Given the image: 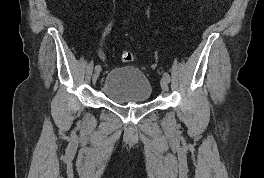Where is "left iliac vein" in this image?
I'll return each instance as SVG.
<instances>
[{
	"label": "left iliac vein",
	"instance_id": "left-iliac-vein-1",
	"mask_svg": "<svg viewBox=\"0 0 264 178\" xmlns=\"http://www.w3.org/2000/svg\"><path fill=\"white\" fill-rule=\"evenodd\" d=\"M168 80L163 76L160 80V84H161V89L164 91V92H167L168 91Z\"/></svg>",
	"mask_w": 264,
	"mask_h": 178
}]
</instances>
